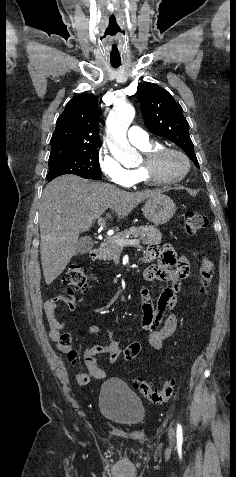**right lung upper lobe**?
I'll use <instances>...</instances> for the list:
<instances>
[{
	"label": "right lung upper lobe",
	"mask_w": 236,
	"mask_h": 477,
	"mask_svg": "<svg viewBox=\"0 0 236 477\" xmlns=\"http://www.w3.org/2000/svg\"><path fill=\"white\" fill-rule=\"evenodd\" d=\"M99 114L93 94H79L66 105L51 138L49 161L99 146Z\"/></svg>",
	"instance_id": "1"
}]
</instances>
